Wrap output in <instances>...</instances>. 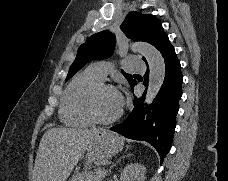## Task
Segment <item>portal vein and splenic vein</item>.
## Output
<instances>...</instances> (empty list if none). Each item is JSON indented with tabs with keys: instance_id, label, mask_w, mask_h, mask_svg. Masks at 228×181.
Returning a JSON list of instances; mask_svg holds the SVG:
<instances>
[{
	"instance_id": "1",
	"label": "portal vein and splenic vein",
	"mask_w": 228,
	"mask_h": 181,
	"mask_svg": "<svg viewBox=\"0 0 228 181\" xmlns=\"http://www.w3.org/2000/svg\"><path fill=\"white\" fill-rule=\"evenodd\" d=\"M108 169L106 168V167H103L102 168V170L100 171L102 174H105V173H107L108 171H107Z\"/></svg>"
}]
</instances>
